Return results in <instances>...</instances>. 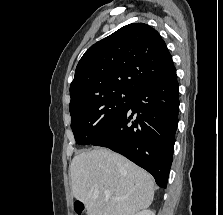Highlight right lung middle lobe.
<instances>
[{
	"label": "right lung middle lobe",
	"instance_id": "dd1d6c3e",
	"mask_svg": "<svg viewBox=\"0 0 223 215\" xmlns=\"http://www.w3.org/2000/svg\"><path fill=\"white\" fill-rule=\"evenodd\" d=\"M134 95L118 90L70 109L76 143L88 145L104 136L121 119Z\"/></svg>",
	"mask_w": 223,
	"mask_h": 215
}]
</instances>
